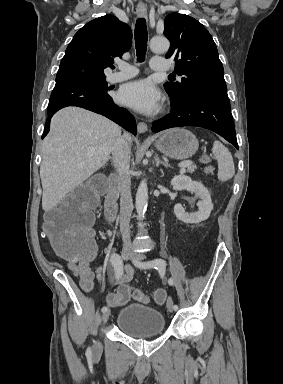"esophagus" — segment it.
Listing matches in <instances>:
<instances>
[{
    "mask_svg": "<svg viewBox=\"0 0 283 384\" xmlns=\"http://www.w3.org/2000/svg\"><path fill=\"white\" fill-rule=\"evenodd\" d=\"M136 12L139 18H146L147 17V10L145 6H137ZM138 132L140 134H143L148 130L147 125L144 122H139L137 126Z\"/></svg>",
    "mask_w": 283,
    "mask_h": 384,
    "instance_id": "1",
    "label": "esophagus"
}]
</instances>
